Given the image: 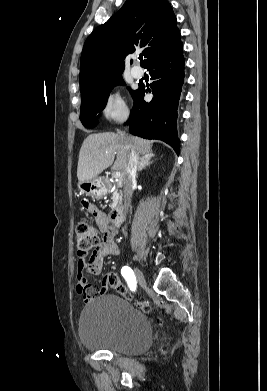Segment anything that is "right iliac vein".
<instances>
[{"label":"right iliac vein","mask_w":267,"mask_h":391,"mask_svg":"<svg viewBox=\"0 0 267 391\" xmlns=\"http://www.w3.org/2000/svg\"><path fill=\"white\" fill-rule=\"evenodd\" d=\"M134 272H135V276H136V279H137L138 283L142 287H145L146 286V280H145V277H144L142 271L139 268L136 267L134 269Z\"/></svg>","instance_id":"obj_1"}]
</instances>
